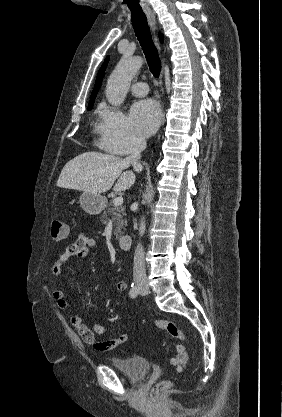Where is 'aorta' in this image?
<instances>
[{"mask_svg": "<svg viewBox=\"0 0 282 417\" xmlns=\"http://www.w3.org/2000/svg\"><path fill=\"white\" fill-rule=\"evenodd\" d=\"M143 64L142 56H128V58H121L113 72H111L106 84V98L112 106H120L122 104L129 88V84L139 72ZM139 235L143 237L146 231V219L143 215L139 225Z\"/></svg>", "mask_w": 282, "mask_h": 417, "instance_id": "762f6f07", "label": "aorta"}]
</instances>
